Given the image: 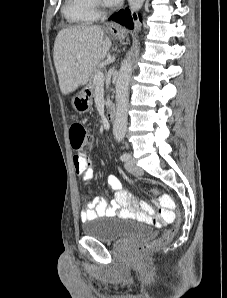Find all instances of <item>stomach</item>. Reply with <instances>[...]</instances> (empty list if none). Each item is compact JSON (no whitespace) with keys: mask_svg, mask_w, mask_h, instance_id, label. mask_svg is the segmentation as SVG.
<instances>
[{"mask_svg":"<svg viewBox=\"0 0 227 298\" xmlns=\"http://www.w3.org/2000/svg\"><path fill=\"white\" fill-rule=\"evenodd\" d=\"M121 35H118V38H121ZM73 108L79 113L84 114L88 112L92 107V92L89 88H83L73 99H72Z\"/></svg>","mask_w":227,"mask_h":298,"instance_id":"obj_1","label":"stomach"}]
</instances>
